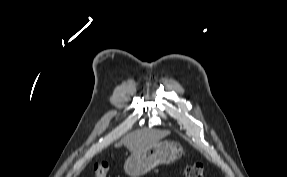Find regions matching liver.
Segmentation results:
<instances>
[{
  "label": "liver",
  "mask_w": 287,
  "mask_h": 177,
  "mask_svg": "<svg viewBox=\"0 0 287 177\" xmlns=\"http://www.w3.org/2000/svg\"><path fill=\"white\" fill-rule=\"evenodd\" d=\"M169 134L167 130L142 128L127 134L118 146L124 145L129 151L136 152L159 142Z\"/></svg>",
  "instance_id": "6515ba94"
}]
</instances>
